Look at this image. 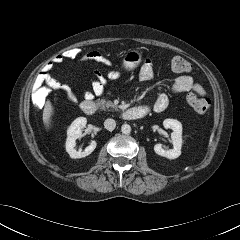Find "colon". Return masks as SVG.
I'll return each mask as SVG.
<instances>
[{
    "instance_id": "colon-1",
    "label": "colon",
    "mask_w": 240,
    "mask_h": 240,
    "mask_svg": "<svg viewBox=\"0 0 240 240\" xmlns=\"http://www.w3.org/2000/svg\"><path fill=\"white\" fill-rule=\"evenodd\" d=\"M63 61L84 62L85 54L79 47L69 48L59 54ZM171 68L176 73H187L191 69L190 63L182 57H174L171 61ZM47 93L45 90L38 91L34 96L36 104L45 102ZM189 106L199 115H204L210 108V101L194 92H191L186 97Z\"/></svg>"
}]
</instances>
